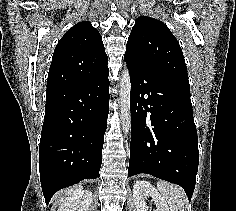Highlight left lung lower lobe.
Instances as JSON below:
<instances>
[{"instance_id": "1", "label": "left lung lower lobe", "mask_w": 236, "mask_h": 211, "mask_svg": "<svg viewBox=\"0 0 236 211\" xmlns=\"http://www.w3.org/2000/svg\"><path fill=\"white\" fill-rule=\"evenodd\" d=\"M127 65L132 118L128 175L147 173L178 184L190 200L199 163L190 89Z\"/></svg>"}]
</instances>
